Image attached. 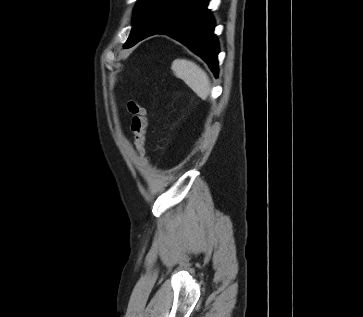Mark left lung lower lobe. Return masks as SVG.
<instances>
[{"mask_svg": "<svg viewBox=\"0 0 363 317\" xmlns=\"http://www.w3.org/2000/svg\"><path fill=\"white\" fill-rule=\"evenodd\" d=\"M207 5L208 0H158L143 35L136 43L154 34H166L206 61L217 77L219 46L213 34L215 23Z\"/></svg>", "mask_w": 363, "mask_h": 317, "instance_id": "0a47b994", "label": "left lung lower lobe"}]
</instances>
